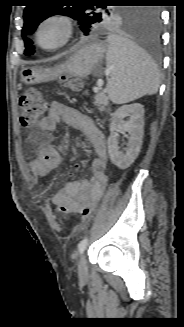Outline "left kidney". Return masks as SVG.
I'll list each match as a JSON object with an SVG mask.
<instances>
[{
    "label": "left kidney",
    "mask_w": 184,
    "mask_h": 327,
    "mask_svg": "<svg viewBox=\"0 0 184 327\" xmlns=\"http://www.w3.org/2000/svg\"><path fill=\"white\" fill-rule=\"evenodd\" d=\"M130 115L129 120L123 119ZM144 108L139 103L123 105L112 116L110 124V136L108 137V153L114 165L120 169L128 168L137 158L143 138ZM123 130L129 133L128 148L121 153L118 148V136L115 131Z\"/></svg>",
    "instance_id": "left-kidney-1"
}]
</instances>
